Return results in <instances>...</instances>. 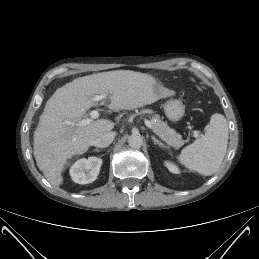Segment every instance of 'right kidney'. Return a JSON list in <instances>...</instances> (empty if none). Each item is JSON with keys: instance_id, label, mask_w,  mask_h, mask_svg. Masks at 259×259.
Masks as SVG:
<instances>
[{"instance_id": "right-kidney-1", "label": "right kidney", "mask_w": 259, "mask_h": 259, "mask_svg": "<svg viewBox=\"0 0 259 259\" xmlns=\"http://www.w3.org/2000/svg\"><path fill=\"white\" fill-rule=\"evenodd\" d=\"M101 165L102 159L98 157L79 159L70 168L71 178L78 184L91 183L97 179Z\"/></svg>"}]
</instances>
